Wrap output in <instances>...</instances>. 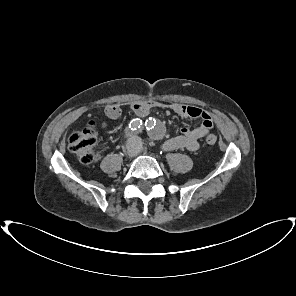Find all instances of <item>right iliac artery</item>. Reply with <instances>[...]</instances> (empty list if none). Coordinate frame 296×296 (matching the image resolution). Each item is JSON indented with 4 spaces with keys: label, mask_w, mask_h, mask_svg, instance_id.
I'll use <instances>...</instances> for the list:
<instances>
[{
    "label": "right iliac artery",
    "mask_w": 296,
    "mask_h": 296,
    "mask_svg": "<svg viewBox=\"0 0 296 296\" xmlns=\"http://www.w3.org/2000/svg\"><path fill=\"white\" fill-rule=\"evenodd\" d=\"M142 126V121L140 119H133L129 124V129L132 131L139 130Z\"/></svg>",
    "instance_id": "obj_1"
}]
</instances>
